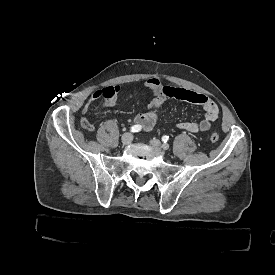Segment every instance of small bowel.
<instances>
[{
  "label": "small bowel",
  "instance_id": "c3829d8e",
  "mask_svg": "<svg viewBox=\"0 0 275 275\" xmlns=\"http://www.w3.org/2000/svg\"><path fill=\"white\" fill-rule=\"evenodd\" d=\"M150 84H157L160 87V94L157 97H152L148 109L145 112L137 114L134 118V122L144 131L152 130L158 120L159 112L168 98H175L187 102L197 103L203 107L204 117L200 121H185L177 124V127L181 130L198 133L208 131L212 124L217 120L219 115V108L217 104L212 101L206 95L197 93L187 88L175 87V86H162L160 80L156 77H152L145 82V86ZM100 91L94 93L85 104L84 108L90 107L93 102L98 98L97 95ZM117 103V96L110 98L107 101L109 107L115 106Z\"/></svg>",
  "mask_w": 275,
  "mask_h": 275
}]
</instances>
